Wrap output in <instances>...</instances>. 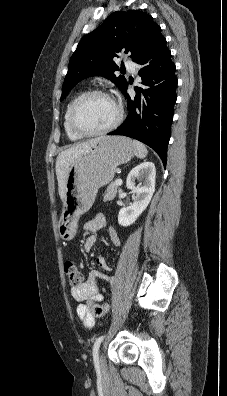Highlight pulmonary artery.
I'll list each match as a JSON object with an SVG mask.
<instances>
[{
	"instance_id": "obj_1",
	"label": "pulmonary artery",
	"mask_w": 227,
	"mask_h": 396,
	"mask_svg": "<svg viewBox=\"0 0 227 396\" xmlns=\"http://www.w3.org/2000/svg\"><path fill=\"white\" fill-rule=\"evenodd\" d=\"M125 65H126V67L128 68V70L130 71V72H132V73H135L136 72V69H137V65L133 62V61H127L126 63H125Z\"/></svg>"
}]
</instances>
